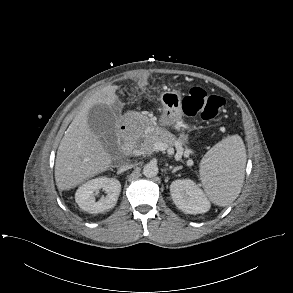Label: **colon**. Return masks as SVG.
<instances>
[{
    "instance_id": "1",
    "label": "colon",
    "mask_w": 293,
    "mask_h": 293,
    "mask_svg": "<svg viewBox=\"0 0 293 293\" xmlns=\"http://www.w3.org/2000/svg\"><path fill=\"white\" fill-rule=\"evenodd\" d=\"M225 107L226 102L222 97L210 94L198 86L190 88L182 104L187 116L199 117L206 121L216 119Z\"/></svg>"
}]
</instances>
